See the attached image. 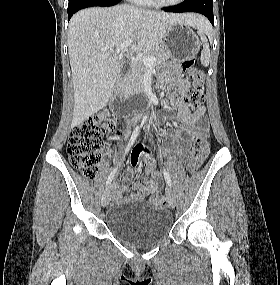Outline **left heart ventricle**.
Instances as JSON below:
<instances>
[{
  "mask_svg": "<svg viewBox=\"0 0 280 285\" xmlns=\"http://www.w3.org/2000/svg\"><path fill=\"white\" fill-rule=\"evenodd\" d=\"M162 2H171V1H174V0H160Z\"/></svg>",
  "mask_w": 280,
  "mask_h": 285,
  "instance_id": "left-heart-ventricle-1",
  "label": "left heart ventricle"
}]
</instances>
